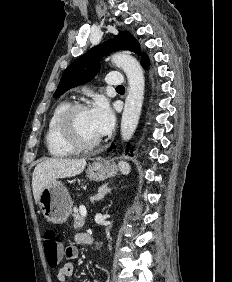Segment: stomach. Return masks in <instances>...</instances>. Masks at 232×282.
<instances>
[{
  "label": "stomach",
  "mask_w": 232,
  "mask_h": 282,
  "mask_svg": "<svg viewBox=\"0 0 232 282\" xmlns=\"http://www.w3.org/2000/svg\"><path fill=\"white\" fill-rule=\"evenodd\" d=\"M117 166L93 162L87 168V177L94 181H102L117 174ZM72 199L60 181L47 185L41 192L39 206L44 217L54 223H64L72 211Z\"/></svg>",
  "instance_id": "1"
}]
</instances>
